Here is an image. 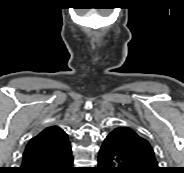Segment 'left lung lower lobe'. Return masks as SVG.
<instances>
[{"label":"left lung lower lobe","instance_id":"0a47b994","mask_svg":"<svg viewBox=\"0 0 184 173\" xmlns=\"http://www.w3.org/2000/svg\"><path fill=\"white\" fill-rule=\"evenodd\" d=\"M99 173H146L136 167L130 156L117 142V133L111 132L99 150Z\"/></svg>","mask_w":184,"mask_h":173}]
</instances>
